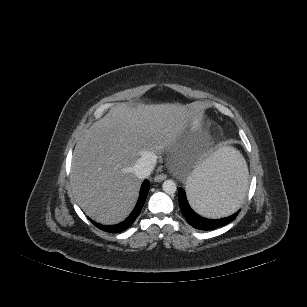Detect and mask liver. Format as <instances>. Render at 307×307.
I'll use <instances>...</instances> for the list:
<instances>
[{"label":"liver","mask_w":307,"mask_h":307,"mask_svg":"<svg viewBox=\"0 0 307 307\" xmlns=\"http://www.w3.org/2000/svg\"><path fill=\"white\" fill-rule=\"evenodd\" d=\"M202 117L196 105L179 103H137L110 111L75 147L71 186L77 203L99 223L123 221L141 186L135 162L148 153L176 152L188 129L201 128Z\"/></svg>","instance_id":"1"}]
</instances>
